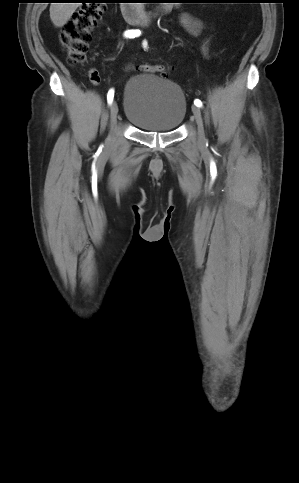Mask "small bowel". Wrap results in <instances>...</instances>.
Returning <instances> with one entry per match:
<instances>
[{"label": "small bowel", "instance_id": "c3829d8e", "mask_svg": "<svg viewBox=\"0 0 299 483\" xmlns=\"http://www.w3.org/2000/svg\"><path fill=\"white\" fill-rule=\"evenodd\" d=\"M180 23L184 27V29L192 35L199 34V32L202 29L201 23L197 19L191 17L186 13L180 14ZM206 51H207V47H204V52ZM89 75L93 83H97L99 81V75L96 69L91 68L89 70Z\"/></svg>", "mask_w": 299, "mask_h": 483}]
</instances>
